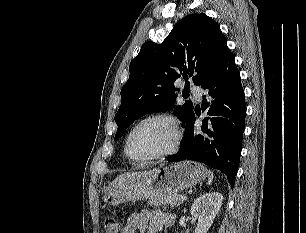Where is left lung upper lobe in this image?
I'll return each mask as SVG.
<instances>
[{"instance_id":"5c2ea615","label":"left lung upper lobe","mask_w":306,"mask_h":233,"mask_svg":"<svg viewBox=\"0 0 306 233\" xmlns=\"http://www.w3.org/2000/svg\"><path fill=\"white\" fill-rule=\"evenodd\" d=\"M229 51L219 25L206 14H191L178 21L162 43L146 42L129 66L130 76L121 89L122 102L115 121L120 138L129 124L145 114L170 110L175 98L174 81L193 76L201 85ZM184 92V91H183ZM174 113L187 123L193 104L187 100Z\"/></svg>"}]
</instances>
